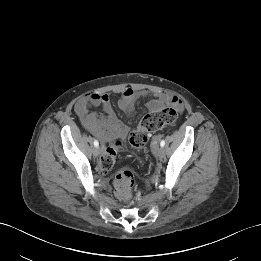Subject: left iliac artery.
Listing matches in <instances>:
<instances>
[{"mask_svg": "<svg viewBox=\"0 0 261 261\" xmlns=\"http://www.w3.org/2000/svg\"><path fill=\"white\" fill-rule=\"evenodd\" d=\"M160 146H161V147H164V146H165V141H164V140H161Z\"/></svg>", "mask_w": 261, "mask_h": 261, "instance_id": "left-iliac-artery-1", "label": "left iliac artery"}]
</instances>
